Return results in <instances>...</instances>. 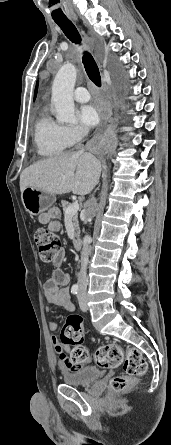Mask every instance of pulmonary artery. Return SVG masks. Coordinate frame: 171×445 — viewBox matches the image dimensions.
Segmentation results:
<instances>
[{
  "label": "pulmonary artery",
  "instance_id": "e3ab8cb5",
  "mask_svg": "<svg viewBox=\"0 0 171 445\" xmlns=\"http://www.w3.org/2000/svg\"><path fill=\"white\" fill-rule=\"evenodd\" d=\"M74 98L76 101L84 103L90 100V95L85 87H77L74 92Z\"/></svg>",
  "mask_w": 171,
  "mask_h": 445
}]
</instances>
